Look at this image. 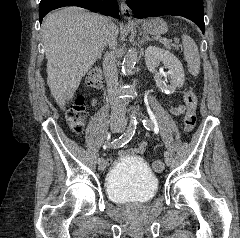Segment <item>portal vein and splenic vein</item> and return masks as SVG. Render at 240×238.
Returning a JSON list of instances; mask_svg holds the SVG:
<instances>
[{
	"label": "portal vein and splenic vein",
	"mask_w": 240,
	"mask_h": 238,
	"mask_svg": "<svg viewBox=\"0 0 240 238\" xmlns=\"http://www.w3.org/2000/svg\"><path fill=\"white\" fill-rule=\"evenodd\" d=\"M160 41H162V42H165V41H166V39H165V38H162V39H160Z\"/></svg>",
	"instance_id": "obj_1"
}]
</instances>
